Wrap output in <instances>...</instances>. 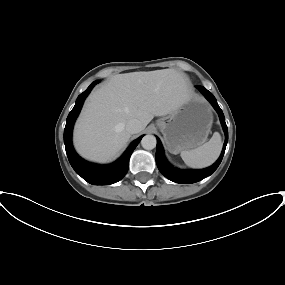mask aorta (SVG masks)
Here are the masks:
<instances>
[{"mask_svg": "<svg viewBox=\"0 0 285 285\" xmlns=\"http://www.w3.org/2000/svg\"><path fill=\"white\" fill-rule=\"evenodd\" d=\"M156 137L154 135H145L141 140V145L146 150H152L156 147Z\"/></svg>", "mask_w": 285, "mask_h": 285, "instance_id": "1", "label": "aorta"}]
</instances>
